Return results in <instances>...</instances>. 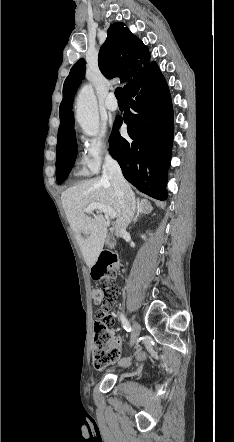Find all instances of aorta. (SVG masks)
Segmentation results:
<instances>
[{"instance_id": "762f6f07", "label": "aorta", "mask_w": 234, "mask_h": 442, "mask_svg": "<svg viewBox=\"0 0 234 442\" xmlns=\"http://www.w3.org/2000/svg\"><path fill=\"white\" fill-rule=\"evenodd\" d=\"M76 119L85 134L97 135L99 131V115L97 101L90 85H85L76 100Z\"/></svg>"}]
</instances>
